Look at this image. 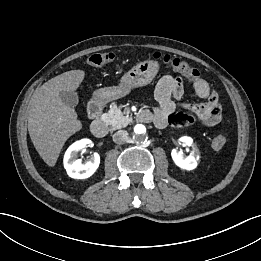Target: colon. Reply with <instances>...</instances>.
<instances>
[{"label": "colon", "mask_w": 261, "mask_h": 261, "mask_svg": "<svg viewBox=\"0 0 261 261\" xmlns=\"http://www.w3.org/2000/svg\"><path fill=\"white\" fill-rule=\"evenodd\" d=\"M153 57L156 59H162L166 65L188 79L195 80L200 76V73L196 68L192 67L182 59L172 57L170 55H161L159 53H154ZM114 58L115 55L111 52L93 53L87 57V64L92 67H99L113 61ZM226 142V136L224 134H218L212 139L211 145L213 149L221 150L226 145Z\"/></svg>", "instance_id": "obj_1"}]
</instances>
